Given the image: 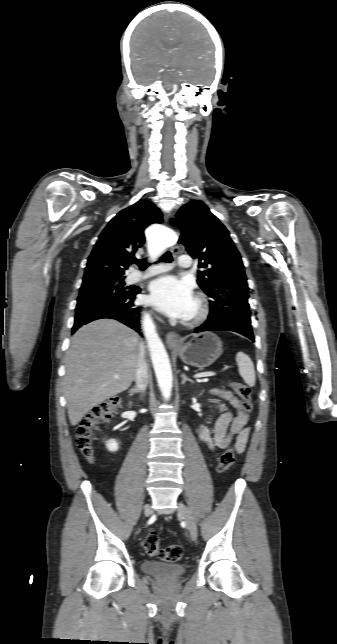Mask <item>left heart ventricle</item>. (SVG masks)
<instances>
[{"label":"left heart ventricle","mask_w":337,"mask_h":644,"mask_svg":"<svg viewBox=\"0 0 337 644\" xmlns=\"http://www.w3.org/2000/svg\"><path fill=\"white\" fill-rule=\"evenodd\" d=\"M195 309H196V304H195V301H194L192 309H191V312H190V315H192L194 313Z\"/></svg>","instance_id":"obj_1"}]
</instances>
